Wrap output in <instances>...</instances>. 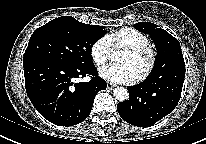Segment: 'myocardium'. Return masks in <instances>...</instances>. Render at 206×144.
Segmentation results:
<instances>
[{
	"instance_id": "1",
	"label": "myocardium",
	"mask_w": 206,
	"mask_h": 144,
	"mask_svg": "<svg viewBox=\"0 0 206 144\" xmlns=\"http://www.w3.org/2000/svg\"><path fill=\"white\" fill-rule=\"evenodd\" d=\"M125 51L135 56H140V55L147 56L146 67L141 72V74L138 75L136 78L137 82H142L146 80L152 74L155 68L156 61H157L156 51L150 45L128 46V47H125Z\"/></svg>"
}]
</instances>
